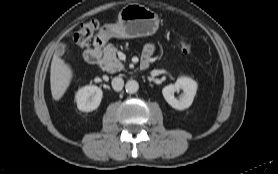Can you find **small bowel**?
I'll return each mask as SVG.
<instances>
[{
  "instance_id": "c3829d8e",
  "label": "small bowel",
  "mask_w": 278,
  "mask_h": 174,
  "mask_svg": "<svg viewBox=\"0 0 278 174\" xmlns=\"http://www.w3.org/2000/svg\"><path fill=\"white\" fill-rule=\"evenodd\" d=\"M154 51V45L152 43H148L145 46L144 56L145 58H148Z\"/></svg>"
}]
</instances>
